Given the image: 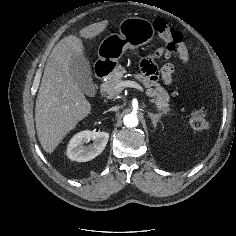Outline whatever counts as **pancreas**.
Returning <instances> with one entry per match:
<instances>
[{"instance_id": "pancreas-1", "label": "pancreas", "mask_w": 236, "mask_h": 236, "mask_svg": "<svg viewBox=\"0 0 236 236\" xmlns=\"http://www.w3.org/2000/svg\"><path fill=\"white\" fill-rule=\"evenodd\" d=\"M127 71L124 67L118 66L114 69L108 76L107 80L102 84L101 90L107 94V97L117 98L123 89H116V85L122 81V78L125 77ZM135 79L142 82L143 85L147 88V96L153 97L151 102L156 105L158 110L161 111V114L170 115V112L173 111L170 108L168 103L170 96L158 82L151 81L149 76H146L142 73H136L133 75Z\"/></svg>"}]
</instances>
